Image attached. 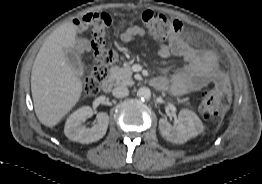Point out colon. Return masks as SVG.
Segmentation results:
<instances>
[{
  "mask_svg": "<svg viewBox=\"0 0 262 184\" xmlns=\"http://www.w3.org/2000/svg\"><path fill=\"white\" fill-rule=\"evenodd\" d=\"M147 32L158 41L170 40L177 37L183 29L179 20L154 12L145 11L141 16ZM111 18L106 13L91 12L84 14L78 24L90 27L91 46L94 64L84 81V91L95 95L100 91L101 84L108 75L109 67L117 60V55L107 42L106 36L111 27ZM227 88V78L224 74L217 75L215 87L201 93L199 111L206 120H215L221 114V95Z\"/></svg>",
  "mask_w": 262,
  "mask_h": 184,
  "instance_id": "obj_1",
  "label": "colon"
}]
</instances>
